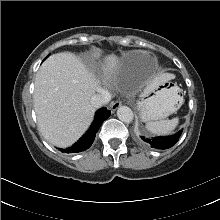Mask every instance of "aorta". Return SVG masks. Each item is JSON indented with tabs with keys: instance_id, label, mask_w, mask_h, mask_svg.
Masks as SVG:
<instances>
[{
	"instance_id": "762f6f07",
	"label": "aorta",
	"mask_w": 220,
	"mask_h": 220,
	"mask_svg": "<svg viewBox=\"0 0 220 220\" xmlns=\"http://www.w3.org/2000/svg\"><path fill=\"white\" fill-rule=\"evenodd\" d=\"M117 117L124 123H130L134 118V114L129 107L120 106L117 110Z\"/></svg>"
}]
</instances>
